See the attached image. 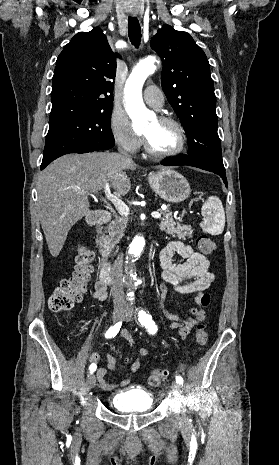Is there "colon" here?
<instances>
[{
    "label": "colon",
    "instance_id": "1",
    "mask_svg": "<svg viewBox=\"0 0 279 465\" xmlns=\"http://www.w3.org/2000/svg\"><path fill=\"white\" fill-rule=\"evenodd\" d=\"M199 251L204 255H209L215 250V243L207 235H200L197 238ZM94 254L85 247H79L76 256V265L72 275L63 279L55 288L49 298V308L54 312H65L73 308L75 303L79 302L88 289L92 279L94 267L92 261ZM211 297L208 293H203L200 297L201 309L197 312L199 325L197 326L195 337L199 345H205L208 340V333L203 321L206 317L205 308L210 305ZM168 372L166 370L156 369L148 377V383L152 387L161 385Z\"/></svg>",
    "mask_w": 279,
    "mask_h": 465
}]
</instances>
